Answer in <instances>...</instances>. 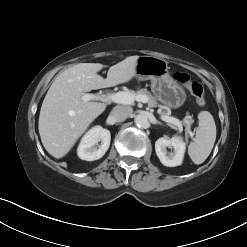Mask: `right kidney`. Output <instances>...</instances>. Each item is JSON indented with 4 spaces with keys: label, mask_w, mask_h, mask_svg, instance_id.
<instances>
[{
    "label": "right kidney",
    "mask_w": 247,
    "mask_h": 247,
    "mask_svg": "<svg viewBox=\"0 0 247 247\" xmlns=\"http://www.w3.org/2000/svg\"><path fill=\"white\" fill-rule=\"evenodd\" d=\"M110 141V131L101 126H95L82 137L77 149V154L82 160H98L102 158L109 149ZM98 142H100L99 145Z\"/></svg>",
    "instance_id": "1"
}]
</instances>
